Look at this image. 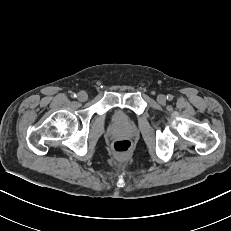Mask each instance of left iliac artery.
<instances>
[{
	"instance_id": "44dca946",
	"label": "left iliac artery",
	"mask_w": 231,
	"mask_h": 231,
	"mask_svg": "<svg viewBox=\"0 0 231 231\" xmlns=\"http://www.w3.org/2000/svg\"><path fill=\"white\" fill-rule=\"evenodd\" d=\"M167 99H168V100H172V99H173V96H172L171 94H168V95H167Z\"/></svg>"
}]
</instances>
